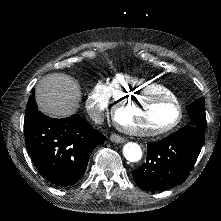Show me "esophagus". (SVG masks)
<instances>
[{
    "label": "esophagus",
    "instance_id": "esophagus-1",
    "mask_svg": "<svg viewBox=\"0 0 221 221\" xmlns=\"http://www.w3.org/2000/svg\"><path fill=\"white\" fill-rule=\"evenodd\" d=\"M110 140L114 143H124L125 139L121 136H119L118 134H112L110 136Z\"/></svg>",
    "mask_w": 221,
    "mask_h": 221
}]
</instances>
